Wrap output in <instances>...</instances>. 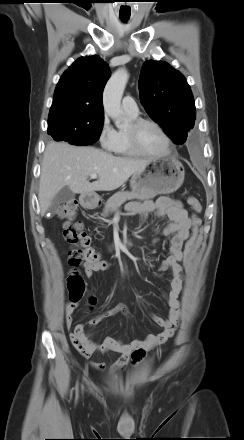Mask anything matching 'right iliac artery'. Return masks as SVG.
<instances>
[{
  "instance_id": "right-iliac-artery-1",
  "label": "right iliac artery",
  "mask_w": 244,
  "mask_h": 440,
  "mask_svg": "<svg viewBox=\"0 0 244 440\" xmlns=\"http://www.w3.org/2000/svg\"><path fill=\"white\" fill-rule=\"evenodd\" d=\"M78 390V385H76V391ZM77 396H78V394H77Z\"/></svg>"
}]
</instances>
